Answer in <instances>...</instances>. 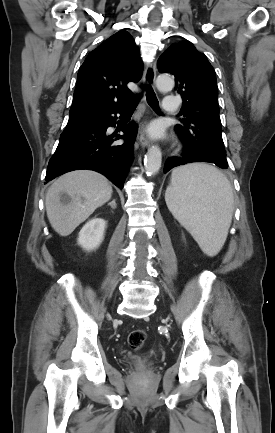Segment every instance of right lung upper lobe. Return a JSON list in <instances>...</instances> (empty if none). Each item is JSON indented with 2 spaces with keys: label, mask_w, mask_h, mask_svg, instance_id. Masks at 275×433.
Here are the masks:
<instances>
[{
  "label": "right lung upper lobe",
  "mask_w": 275,
  "mask_h": 433,
  "mask_svg": "<svg viewBox=\"0 0 275 433\" xmlns=\"http://www.w3.org/2000/svg\"><path fill=\"white\" fill-rule=\"evenodd\" d=\"M143 63L130 33L120 30L91 51L79 69L69 120L128 104V82L141 79Z\"/></svg>",
  "instance_id": "1"
}]
</instances>
